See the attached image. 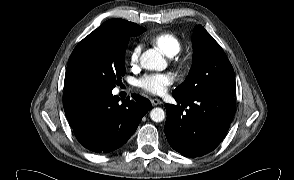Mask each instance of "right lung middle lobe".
I'll return each instance as SVG.
<instances>
[{"mask_svg": "<svg viewBox=\"0 0 294 180\" xmlns=\"http://www.w3.org/2000/svg\"><path fill=\"white\" fill-rule=\"evenodd\" d=\"M130 35L87 36L67 64L64 94L87 89L112 90L125 75V50Z\"/></svg>", "mask_w": 294, "mask_h": 180, "instance_id": "right-lung-middle-lobe-1", "label": "right lung middle lobe"}]
</instances>
